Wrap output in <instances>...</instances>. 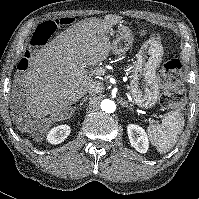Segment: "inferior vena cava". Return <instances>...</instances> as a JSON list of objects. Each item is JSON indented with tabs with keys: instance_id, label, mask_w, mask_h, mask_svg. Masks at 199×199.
Wrapping results in <instances>:
<instances>
[{
	"instance_id": "obj_1",
	"label": "inferior vena cava",
	"mask_w": 199,
	"mask_h": 199,
	"mask_svg": "<svg viewBox=\"0 0 199 199\" xmlns=\"http://www.w3.org/2000/svg\"><path fill=\"white\" fill-rule=\"evenodd\" d=\"M103 88L104 87H103V84L101 82L94 81L88 86L87 91L89 93H99L103 90Z\"/></svg>"
}]
</instances>
